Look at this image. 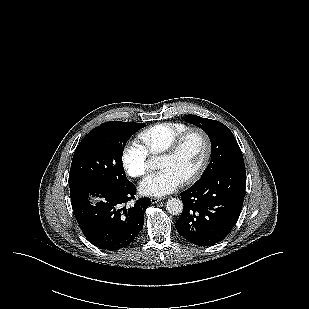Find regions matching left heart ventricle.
<instances>
[{
	"label": "left heart ventricle",
	"instance_id": "left-heart-ventricle-1",
	"mask_svg": "<svg viewBox=\"0 0 309 309\" xmlns=\"http://www.w3.org/2000/svg\"><path fill=\"white\" fill-rule=\"evenodd\" d=\"M205 154L203 138L191 134L174 156H162L160 168L174 170L183 180L194 173L200 166Z\"/></svg>",
	"mask_w": 309,
	"mask_h": 309
}]
</instances>
